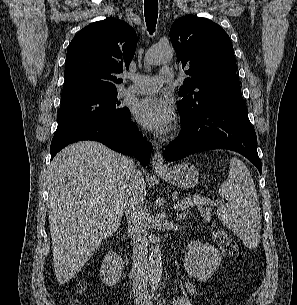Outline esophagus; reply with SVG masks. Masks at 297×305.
Listing matches in <instances>:
<instances>
[{"mask_svg":"<svg viewBox=\"0 0 297 305\" xmlns=\"http://www.w3.org/2000/svg\"><path fill=\"white\" fill-rule=\"evenodd\" d=\"M152 167L155 171H162L165 169L164 159L160 150H157L153 155Z\"/></svg>","mask_w":297,"mask_h":305,"instance_id":"esophagus-1","label":"esophagus"}]
</instances>
